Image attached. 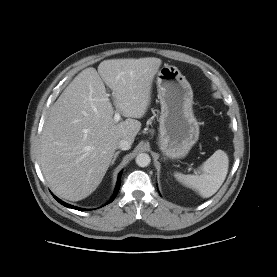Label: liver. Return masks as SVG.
Masks as SVG:
<instances>
[{
	"label": "liver",
	"mask_w": 277,
	"mask_h": 277,
	"mask_svg": "<svg viewBox=\"0 0 277 277\" xmlns=\"http://www.w3.org/2000/svg\"><path fill=\"white\" fill-rule=\"evenodd\" d=\"M161 59H110L80 72L66 87L45 122L41 140V170L60 197L79 201L101 183L117 149L131 144L141 129L151 101ZM105 84L112 90L116 111L127 117L116 122Z\"/></svg>",
	"instance_id": "1"
}]
</instances>
